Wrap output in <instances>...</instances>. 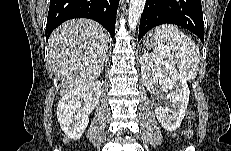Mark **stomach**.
Segmentation results:
<instances>
[{
  "label": "stomach",
  "instance_id": "stomach-1",
  "mask_svg": "<svg viewBox=\"0 0 231 151\" xmlns=\"http://www.w3.org/2000/svg\"><path fill=\"white\" fill-rule=\"evenodd\" d=\"M157 42H158V39H157V37L155 36V34H154L153 32H149V33L146 35L144 44H145L147 47H155V45L157 44Z\"/></svg>",
  "mask_w": 231,
  "mask_h": 151
}]
</instances>
